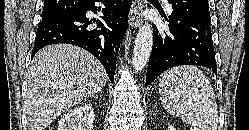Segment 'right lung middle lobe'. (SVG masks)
<instances>
[{
	"mask_svg": "<svg viewBox=\"0 0 249 130\" xmlns=\"http://www.w3.org/2000/svg\"><path fill=\"white\" fill-rule=\"evenodd\" d=\"M75 11V10H74ZM74 11H65V12H43L42 13V21L45 20H51V19H56L59 17H63L66 15H69L70 13L74 12Z\"/></svg>",
	"mask_w": 249,
	"mask_h": 130,
	"instance_id": "obj_1",
	"label": "right lung middle lobe"
}]
</instances>
